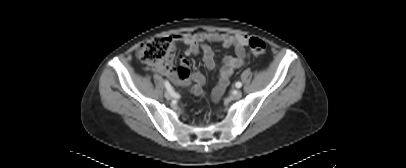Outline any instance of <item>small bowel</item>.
I'll use <instances>...</instances> for the list:
<instances>
[{"mask_svg": "<svg viewBox=\"0 0 406 168\" xmlns=\"http://www.w3.org/2000/svg\"><path fill=\"white\" fill-rule=\"evenodd\" d=\"M172 39L175 42L186 46L184 52L186 57L196 55L201 51L203 53V62L208 69H214L216 65L215 55L209 44L216 43L224 48L233 47L235 49V56L226 55L223 58L218 82L210 96L212 101L220 99L228 87L235 70L242 67L247 58L244 46L248 42V37L244 35H229L218 32H197L177 34L173 36ZM174 57V51L172 50L166 58V61L153 65L152 70L155 73L168 76L172 82L178 86L189 87L193 94L203 96V86L205 84L204 76L200 73H191L190 64L184 57L180 58V68L182 71H176L173 65Z\"/></svg>", "mask_w": 406, "mask_h": 168, "instance_id": "c3829d8e", "label": "small bowel"}]
</instances>
